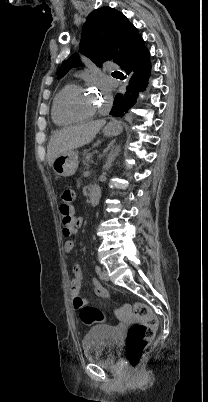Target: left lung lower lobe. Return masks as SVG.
Segmentation results:
<instances>
[{
    "label": "left lung lower lobe",
    "mask_w": 208,
    "mask_h": 402,
    "mask_svg": "<svg viewBox=\"0 0 208 402\" xmlns=\"http://www.w3.org/2000/svg\"><path fill=\"white\" fill-rule=\"evenodd\" d=\"M114 62L120 65L129 76L126 92L115 96L114 106L110 111V115L122 117L134 105L138 93L147 86L151 72L149 51L134 25L130 26Z\"/></svg>",
    "instance_id": "1"
}]
</instances>
